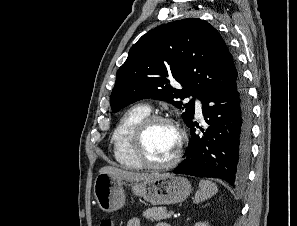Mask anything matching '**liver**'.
I'll return each instance as SVG.
<instances>
[{
	"mask_svg": "<svg viewBox=\"0 0 297 226\" xmlns=\"http://www.w3.org/2000/svg\"><path fill=\"white\" fill-rule=\"evenodd\" d=\"M99 173L110 174L116 179L126 180V181H145V180L155 179L163 175V174H146V173L130 172V171H125L112 166L102 167Z\"/></svg>",
	"mask_w": 297,
	"mask_h": 226,
	"instance_id": "1",
	"label": "liver"
}]
</instances>
